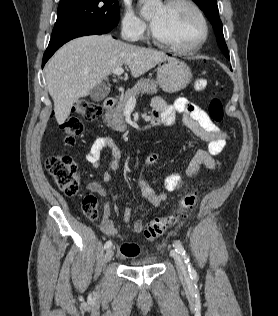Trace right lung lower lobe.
Listing matches in <instances>:
<instances>
[{
	"mask_svg": "<svg viewBox=\"0 0 278 316\" xmlns=\"http://www.w3.org/2000/svg\"><path fill=\"white\" fill-rule=\"evenodd\" d=\"M114 27H115L114 25H94V26L78 28V29L66 32L64 34H61L59 36L52 37L49 42L48 48L46 49L43 56L42 68L45 65V63L48 61V59L55 53V51L66 42L80 36L105 34V33L110 32Z\"/></svg>",
	"mask_w": 278,
	"mask_h": 316,
	"instance_id": "obj_1",
	"label": "right lung lower lobe"
}]
</instances>
